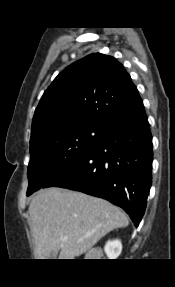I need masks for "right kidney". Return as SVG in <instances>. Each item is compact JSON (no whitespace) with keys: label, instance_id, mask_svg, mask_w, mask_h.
I'll return each instance as SVG.
<instances>
[{"label":"right kidney","instance_id":"ca27d5eb","mask_svg":"<svg viewBox=\"0 0 175 287\" xmlns=\"http://www.w3.org/2000/svg\"><path fill=\"white\" fill-rule=\"evenodd\" d=\"M104 251L109 259H116L122 251V243L120 240H110L106 243Z\"/></svg>","mask_w":175,"mask_h":287}]
</instances>
